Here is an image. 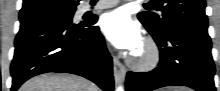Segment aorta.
Listing matches in <instances>:
<instances>
[{
  "label": "aorta",
  "instance_id": "1",
  "mask_svg": "<svg viewBox=\"0 0 220 91\" xmlns=\"http://www.w3.org/2000/svg\"><path fill=\"white\" fill-rule=\"evenodd\" d=\"M116 91H124L123 87L122 86H118Z\"/></svg>",
  "mask_w": 220,
  "mask_h": 91
}]
</instances>
